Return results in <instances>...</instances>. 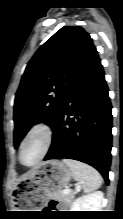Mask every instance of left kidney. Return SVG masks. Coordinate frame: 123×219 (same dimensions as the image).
<instances>
[{
  "mask_svg": "<svg viewBox=\"0 0 123 219\" xmlns=\"http://www.w3.org/2000/svg\"><path fill=\"white\" fill-rule=\"evenodd\" d=\"M104 196L100 191L77 198L71 211H102Z\"/></svg>",
  "mask_w": 123,
  "mask_h": 219,
  "instance_id": "5707ae66",
  "label": "left kidney"
}]
</instances>
